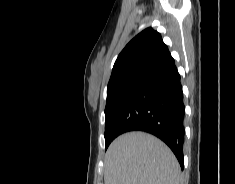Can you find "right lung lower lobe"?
Listing matches in <instances>:
<instances>
[{
    "mask_svg": "<svg viewBox=\"0 0 235 184\" xmlns=\"http://www.w3.org/2000/svg\"><path fill=\"white\" fill-rule=\"evenodd\" d=\"M180 75L172 56L163 60L132 87L110 124L116 137L144 131L165 142L184 167V113Z\"/></svg>",
    "mask_w": 235,
    "mask_h": 184,
    "instance_id": "1",
    "label": "right lung lower lobe"
}]
</instances>
